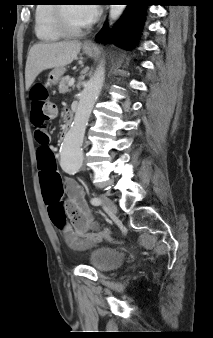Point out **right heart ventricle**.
<instances>
[{
  "label": "right heart ventricle",
  "mask_w": 213,
  "mask_h": 338,
  "mask_svg": "<svg viewBox=\"0 0 213 338\" xmlns=\"http://www.w3.org/2000/svg\"><path fill=\"white\" fill-rule=\"evenodd\" d=\"M35 8V33L39 40L43 42L59 41L63 35L55 26V7L56 5L47 0H40Z\"/></svg>",
  "instance_id": "1"
}]
</instances>
